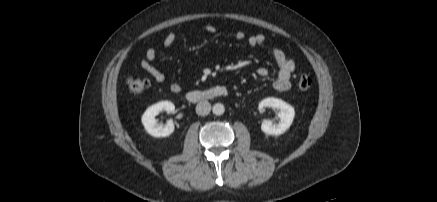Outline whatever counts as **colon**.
<instances>
[{"label": "colon", "mask_w": 437, "mask_h": 202, "mask_svg": "<svg viewBox=\"0 0 437 202\" xmlns=\"http://www.w3.org/2000/svg\"><path fill=\"white\" fill-rule=\"evenodd\" d=\"M128 90L133 94H142L149 86L150 81L146 78L130 76L126 80ZM312 85V79L307 74L300 75L298 79V86L301 90H308Z\"/></svg>", "instance_id": "1"}]
</instances>
